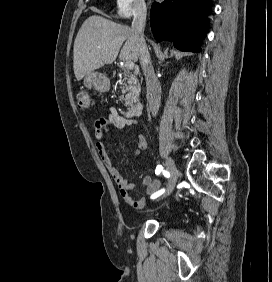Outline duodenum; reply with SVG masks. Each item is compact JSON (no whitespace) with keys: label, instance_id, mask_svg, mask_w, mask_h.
<instances>
[{"label":"duodenum","instance_id":"1","mask_svg":"<svg viewBox=\"0 0 272 282\" xmlns=\"http://www.w3.org/2000/svg\"><path fill=\"white\" fill-rule=\"evenodd\" d=\"M135 72V71H134ZM143 103L140 100H136L129 105L128 109L124 112V117L132 119L142 114Z\"/></svg>","mask_w":272,"mask_h":282}]
</instances>
